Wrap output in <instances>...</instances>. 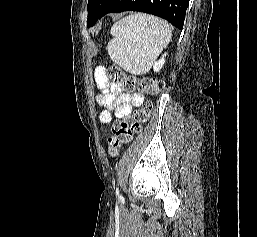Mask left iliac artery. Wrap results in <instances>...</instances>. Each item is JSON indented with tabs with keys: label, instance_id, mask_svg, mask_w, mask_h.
Wrapping results in <instances>:
<instances>
[{
	"label": "left iliac artery",
	"instance_id": "left-iliac-artery-1",
	"mask_svg": "<svg viewBox=\"0 0 257 237\" xmlns=\"http://www.w3.org/2000/svg\"><path fill=\"white\" fill-rule=\"evenodd\" d=\"M116 195L119 196V190H118V188H116Z\"/></svg>",
	"mask_w": 257,
	"mask_h": 237
}]
</instances>
